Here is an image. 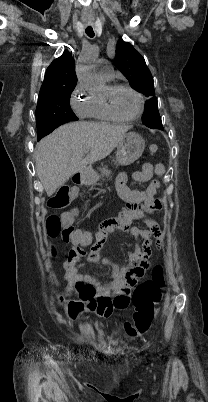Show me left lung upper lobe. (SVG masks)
Returning a JSON list of instances; mask_svg holds the SVG:
<instances>
[{"label": "left lung upper lobe", "instance_id": "left-lung-upper-lobe-1", "mask_svg": "<svg viewBox=\"0 0 208 402\" xmlns=\"http://www.w3.org/2000/svg\"><path fill=\"white\" fill-rule=\"evenodd\" d=\"M115 65L126 76L132 87L148 98L146 112L142 116L144 124L149 128L163 130L151 72L142 55L122 38L117 43Z\"/></svg>", "mask_w": 208, "mask_h": 402}]
</instances>
